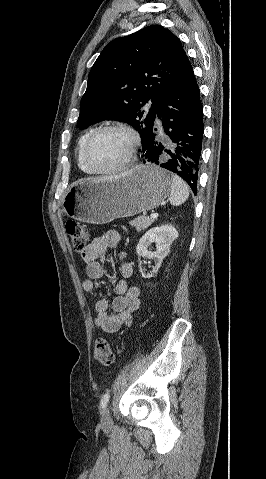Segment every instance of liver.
<instances>
[{"instance_id": "1", "label": "liver", "mask_w": 266, "mask_h": 479, "mask_svg": "<svg viewBox=\"0 0 266 479\" xmlns=\"http://www.w3.org/2000/svg\"><path fill=\"white\" fill-rule=\"evenodd\" d=\"M125 174H121L120 176H124ZM118 176V177H120ZM112 178H116V177H106V178H100V179H97L99 181H102V180H108V179H112Z\"/></svg>"}]
</instances>
